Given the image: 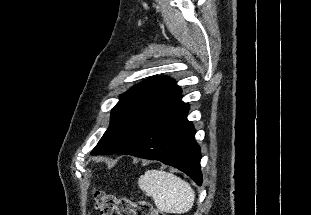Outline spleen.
I'll list each match as a JSON object with an SVG mask.
<instances>
[{"label":"spleen","mask_w":311,"mask_h":215,"mask_svg":"<svg viewBox=\"0 0 311 215\" xmlns=\"http://www.w3.org/2000/svg\"><path fill=\"white\" fill-rule=\"evenodd\" d=\"M138 185L160 211L183 214L194 204L195 192L190 184L170 172L148 170L140 176Z\"/></svg>","instance_id":"obj_1"}]
</instances>
